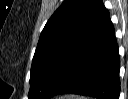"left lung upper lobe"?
<instances>
[{
    "label": "left lung upper lobe",
    "instance_id": "left-lung-upper-lobe-1",
    "mask_svg": "<svg viewBox=\"0 0 128 99\" xmlns=\"http://www.w3.org/2000/svg\"><path fill=\"white\" fill-rule=\"evenodd\" d=\"M106 12L101 0H64L40 35L28 99H46L60 68L85 43Z\"/></svg>",
    "mask_w": 128,
    "mask_h": 99
}]
</instances>
